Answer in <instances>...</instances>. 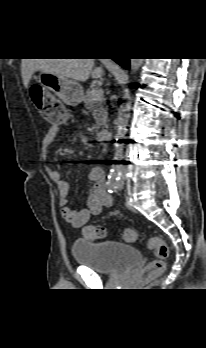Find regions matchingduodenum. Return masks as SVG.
<instances>
[{"mask_svg":"<svg viewBox=\"0 0 206 348\" xmlns=\"http://www.w3.org/2000/svg\"><path fill=\"white\" fill-rule=\"evenodd\" d=\"M111 134H112L111 131H109V130H103V131H101V132L99 133V138H100L101 140H107V139L110 138V135H111Z\"/></svg>","mask_w":206,"mask_h":348,"instance_id":"1","label":"duodenum"}]
</instances>
